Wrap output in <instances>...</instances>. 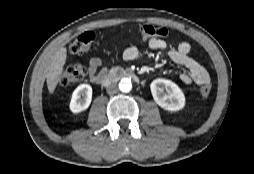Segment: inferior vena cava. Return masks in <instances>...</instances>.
<instances>
[{"label":"inferior vena cava","instance_id":"1","mask_svg":"<svg viewBox=\"0 0 254 174\" xmlns=\"http://www.w3.org/2000/svg\"><path fill=\"white\" fill-rule=\"evenodd\" d=\"M106 91L109 95H114L118 92V86L116 83H111L109 86H107Z\"/></svg>","mask_w":254,"mask_h":174}]
</instances>
